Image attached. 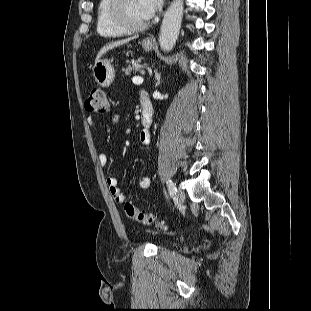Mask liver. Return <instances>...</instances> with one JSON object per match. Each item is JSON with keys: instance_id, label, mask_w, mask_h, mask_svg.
<instances>
[{"instance_id": "liver-1", "label": "liver", "mask_w": 311, "mask_h": 311, "mask_svg": "<svg viewBox=\"0 0 311 311\" xmlns=\"http://www.w3.org/2000/svg\"><path fill=\"white\" fill-rule=\"evenodd\" d=\"M137 36L135 37H130V38H127V39H123V40H119V41H115V42H112L106 46H104L103 48H101V50L99 51V53L97 54V57L95 59V62H97L107 51L115 48V47H118L120 45H123V44H126L128 43L129 41L133 40V39H136Z\"/></svg>"}]
</instances>
